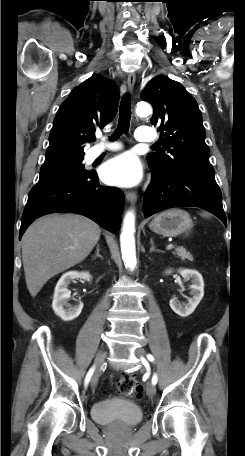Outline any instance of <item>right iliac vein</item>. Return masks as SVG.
Returning a JSON list of instances; mask_svg holds the SVG:
<instances>
[{"instance_id":"obj_1","label":"right iliac vein","mask_w":245,"mask_h":456,"mask_svg":"<svg viewBox=\"0 0 245 456\" xmlns=\"http://www.w3.org/2000/svg\"><path fill=\"white\" fill-rule=\"evenodd\" d=\"M105 356H106V352L103 351V350L100 351L98 353V355L96 356V359H95V372H94V374H93V376L91 378V386L92 387H96V385L98 383L99 368L103 364Z\"/></svg>"}]
</instances>
